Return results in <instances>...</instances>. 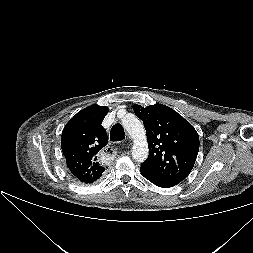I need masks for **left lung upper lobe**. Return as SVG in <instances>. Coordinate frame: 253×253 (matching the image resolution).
Wrapping results in <instances>:
<instances>
[{
  "mask_svg": "<svg viewBox=\"0 0 253 253\" xmlns=\"http://www.w3.org/2000/svg\"><path fill=\"white\" fill-rule=\"evenodd\" d=\"M146 129L148 158L140 171L153 178L177 185L191 172L199 151L195 128L172 108L155 104L133 105Z\"/></svg>",
  "mask_w": 253,
  "mask_h": 253,
  "instance_id": "5c2ea615",
  "label": "left lung upper lobe"
}]
</instances>
